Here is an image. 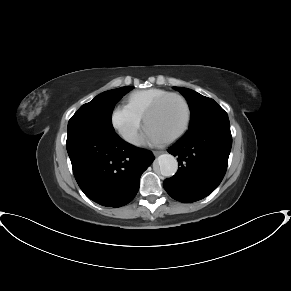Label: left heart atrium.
Segmentation results:
<instances>
[{
    "mask_svg": "<svg viewBox=\"0 0 291 291\" xmlns=\"http://www.w3.org/2000/svg\"><path fill=\"white\" fill-rule=\"evenodd\" d=\"M165 140L163 136L158 134L153 128L146 126L144 132L139 137V141L145 143H161Z\"/></svg>",
    "mask_w": 291,
    "mask_h": 291,
    "instance_id": "left-heart-atrium-1",
    "label": "left heart atrium"
}]
</instances>
